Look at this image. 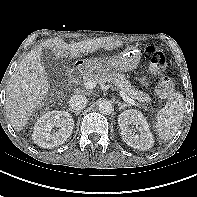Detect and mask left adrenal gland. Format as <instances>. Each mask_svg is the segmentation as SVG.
I'll list each match as a JSON object with an SVG mask.
<instances>
[{"label": "left adrenal gland", "instance_id": "obj_1", "mask_svg": "<svg viewBox=\"0 0 197 197\" xmlns=\"http://www.w3.org/2000/svg\"><path fill=\"white\" fill-rule=\"evenodd\" d=\"M118 106H119V111H121V110L125 109V107H129L130 105L118 102Z\"/></svg>", "mask_w": 197, "mask_h": 197}]
</instances>
